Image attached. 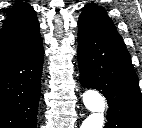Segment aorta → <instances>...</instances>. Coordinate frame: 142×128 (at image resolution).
<instances>
[{"instance_id":"obj_1","label":"aorta","mask_w":142,"mask_h":128,"mask_svg":"<svg viewBox=\"0 0 142 128\" xmlns=\"http://www.w3.org/2000/svg\"><path fill=\"white\" fill-rule=\"evenodd\" d=\"M83 103L91 114L82 122L81 128H102L106 103L96 90H87L83 94Z\"/></svg>"}]
</instances>
